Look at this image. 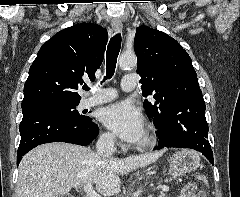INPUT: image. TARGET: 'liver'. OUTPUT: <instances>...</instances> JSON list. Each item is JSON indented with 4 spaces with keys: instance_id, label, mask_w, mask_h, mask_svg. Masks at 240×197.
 Segmentation results:
<instances>
[{
    "instance_id": "6515ba94",
    "label": "liver",
    "mask_w": 240,
    "mask_h": 197,
    "mask_svg": "<svg viewBox=\"0 0 240 197\" xmlns=\"http://www.w3.org/2000/svg\"><path fill=\"white\" fill-rule=\"evenodd\" d=\"M163 152L125 159L102 158L90 148L47 143L28 152L19 165L16 197H59L72 187L94 184L98 193L120 191L119 175L155 162Z\"/></svg>"
}]
</instances>
